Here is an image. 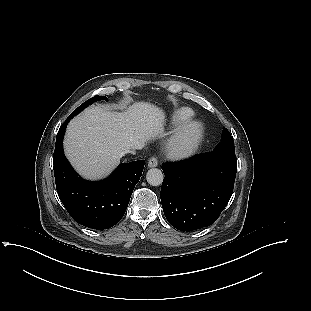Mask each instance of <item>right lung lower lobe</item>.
I'll return each mask as SVG.
<instances>
[{
	"instance_id": "1",
	"label": "right lung lower lobe",
	"mask_w": 311,
	"mask_h": 311,
	"mask_svg": "<svg viewBox=\"0 0 311 311\" xmlns=\"http://www.w3.org/2000/svg\"><path fill=\"white\" fill-rule=\"evenodd\" d=\"M71 118L62 124L56 138L53 164L58 195L77 223L92 229L110 228L123 217L145 161L123 163L103 181L81 179L63 153L62 141Z\"/></svg>"
}]
</instances>
